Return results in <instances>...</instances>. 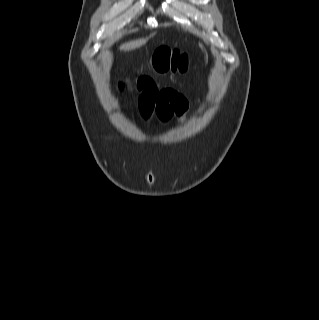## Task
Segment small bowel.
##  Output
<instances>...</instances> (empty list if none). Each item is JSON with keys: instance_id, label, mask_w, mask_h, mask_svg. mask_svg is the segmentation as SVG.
<instances>
[{"instance_id": "c3829d8e", "label": "small bowel", "mask_w": 319, "mask_h": 320, "mask_svg": "<svg viewBox=\"0 0 319 320\" xmlns=\"http://www.w3.org/2000/svg\"><path fill=\"white\" fill-rule=\"evenodd\" d=\"M140 89L139 106L142 115L157 117L167 122L173 115L180 119L185 115L188 104L185 98L173 89L166 88L158 90L154 81L149 77H142L138 80Z\"/></svg>"}]
</instances>
